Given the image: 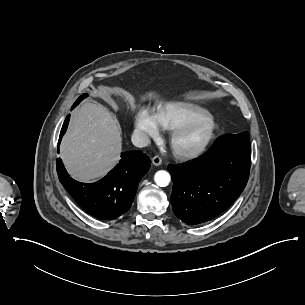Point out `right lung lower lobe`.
Segmentation results:
<instances>
[{"instance_id": "right-lung-lower-lobe-1", "label": "right lung lower lobe", "mask_w": 305, "mask_h": 305, "mask_svg": "<svg viewBox=\"0 0 305 305\" xmlns=\"http://www.w3.org/2000/svg\"><path fill=\"white\" fill-rule=\"evenodd\" d=\"M78 103L76 101L72 108ZM69 119L70 115L62 126L58 147ZM150 165L149 157L138 150L122 153L119 164L92 184L80 183L68 176L61 159H57V173L60 182L83 210L99 219H114L130 209L138 184Z\"/></svg>"}]
</instances>
